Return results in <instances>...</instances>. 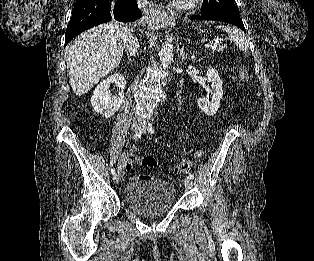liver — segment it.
<instances>
[{
    "instance_id": "6515ba94",
    "label": "liver",
    "mask_w": 314,
    "mask_h": 261,
    "mask_svg": "<svg viewBox=\"0 0 314 261\" xmlns=\"http://www.w3.org/2000/svg\"><path fill=\"white\" fill-rule=\"evenodd\" d=\"M131 30L111 22L80 34L69 46L67 71L76 96L87 93L115 69L122 58Z\"/></svg>"
}]
</instances>
